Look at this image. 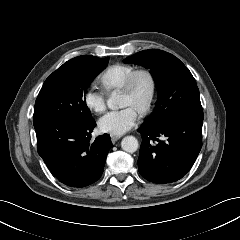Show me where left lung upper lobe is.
<instances>
[{
	"mask_svg": "<svg viewBox=\"0 0 240 240\" xmlns=\"http://www.w3.org/2000/svg\"><path fill=\"white\" fill-rule=\"evenodd\" d=\"M150 69L157 85L155 109L143 124H161L176 117L203 119L199 89L191 72L174 55L162 50L140 51L125 60Z\"/></svg>",
	"mask_w": 240,
	"mask_h": 240,
	"instance_id": "1",
	"label": "left lung upper lobe"
}]
</instances>
